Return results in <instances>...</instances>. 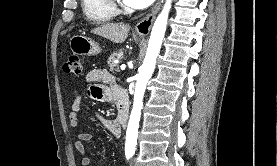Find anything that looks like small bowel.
<instances>
[{
    "mask_svg": "<svg viewBox=\"0 0 277 166\" xmlns=\"http://www.w3.org/2000/svg\"><path fill=\"white\" fill-rule=\"evenodd\" d=\"M86 81L90 85L89 96L97 101L112 103L115 102V95L119 89L115 83V78L105 69H92L86 75ZM83 96L79 91H74L71 99L69 110V122L71 127L79 125V114L81 111ZM95 119L114 137L120 134V128L117 121L107 119L99 115L94 116ZM93 135L89 132L79 133L74 142V148L79 153L81 164L83 166H93L92 159L87 155L85 143L90 141Z\"/></svg>",
    "mask_w": 277,
    "mask_h": 166,
    "instance_id": "c3829d8e",
    "label": "small bowel"
}]
</instances>
